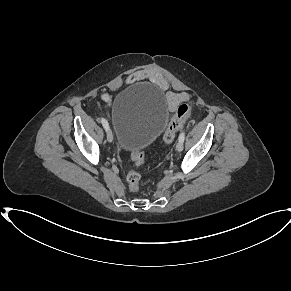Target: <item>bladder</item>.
<instances>
[{"mask_svg": "<svg viewBox=\"0 0 291 291\" xmlns=\"http://www.w3.org/2000/svg\"><path fill=\"white\" fill-rule=\"evenodd\" d=\"M168 117L160 91L144 84L130 85L117 95L111 109L118 147L132 152L144 150L162 132Z\"/></svg>", "mask_w": 291, "mask_h": 291, "instance_id": "obj_1", "label": "bladder"}]
</instances>
